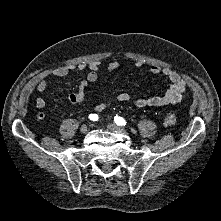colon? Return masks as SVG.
Here are the masks:
<instances>
[{
  "mask_svg": "<svg viewBox=\"0 0 221 221\" xmlns=\"http://www.w3.org/2000/svg\"><path fill=\"white\" fill-rule=\"evenodd\" d=\"M76 93L78 94L79 92L76 91ZM176 121H177V118L173 112L167 113L164 117V123L166 126H173L176 124Z\"/></svg>",
  "mask_w": 221,
  "mask_h": 221,
  "instance_id": "obj_1",
  "label": "colon"
}]
</instances>
